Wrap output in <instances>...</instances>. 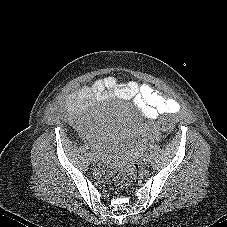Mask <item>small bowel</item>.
Here are the masks:
<instances>
[{
    "mask_svg": "<svg viewBox=\"0 0 227 227\" xmlns=\"http://www.w3.org/2000/svg\"><path fill=\"white\" fill-rule=\"evenodd\" d=\"M112 97L135 99L152 119L165 114H176L180 110V103L174 98H168L149 84H139L135 81L120 83L114 76L96 79L90 85H83L71 93L65 101L68 118L76 124L80 134L87 138L88 110L96 103ZM91 147L101 151L106 147L102 138L88 139Z\"/></svg>",
    "mask_w": 227,
    "mask_h": 227,
    "instance_id": "c3829d8e",
    "label": "small bowel"
}]
</instances>
